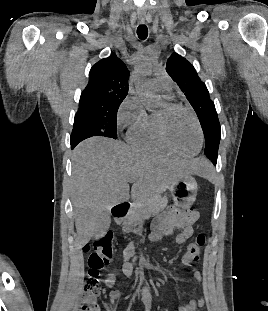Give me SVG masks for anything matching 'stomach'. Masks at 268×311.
Returning <instances> with one entry per match:
<instances>
[{
  "instance_id": "stomach-1",
  "label": "stomach",
  "mask_w": 268,
  "mask_h": 311,
  "mask_svg": "<svg viewBox=\"0 0 268 311\" xmlns=\"http://www.w3.org/2000/svg\"><path fill=\"white\" fill-rule=\"evenodd\" d=\"M170 192L175 204L186 208L196 199L197 182L191 174H186L171 183Z\"/></svg>"
}]
</instances>
